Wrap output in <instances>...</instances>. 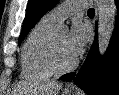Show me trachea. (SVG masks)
Segmentation results:
<instances>
[{
	"label": "trachea",
	"instance_id": "1",
	"mask_svg": "<svg viewBox=\"0 0 119 95\" xmlns=\"http://www.w3.org/2000/svg\"><path fill=\"white\" fill-rule=\"evenodd\" d=\"M94 14H95L94 8H90V9L88 10V15L94 16Z\"/></svg>",
	"mask_w": 119,
	"mask_h": 95
}]
</instances>
